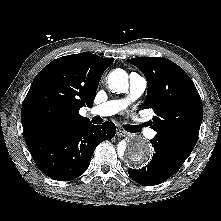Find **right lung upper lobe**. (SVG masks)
<instances>
[{
	"instance_id": "obj_1",
	"label": "right lung upper lobe",
	"mask_w": 221,
	"mask_h": 221,
	"mask_svg": "<svg viewBox=\"0 0 221 221\" xmlns=\"http://www.w3.org/2000/svg\"><path fill=\"white\" fill-rule=\"evenodd\" d=\"M113 62V58L85 52L60 57L45 66L22 105L25 140L90 123L79 110L93 106L101 76Z\"/></svg>"
}]
</instances>
